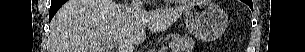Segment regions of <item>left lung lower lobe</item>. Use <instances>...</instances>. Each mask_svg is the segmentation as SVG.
Masks as SVG:
<instances>
[{"mask_svg":"<svg viewBox=\"0 0 305 52\" xmlns=\"http://www.w3.org/2000/svg\"><path fill=\"white\" fill-rule=\"evenodd\" d=\"M246 4H250V2L244 1Z\"/></svg>","mask_w":305,"mask_h":52,"instance_id":"left-lung-lower-lobe-1","label":"left lung lower lobe"}]
</instances>
